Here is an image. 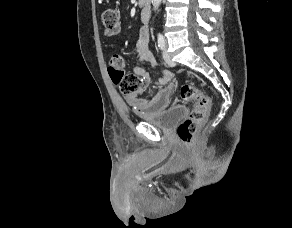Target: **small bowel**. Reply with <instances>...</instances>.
I'll return each mask as SVG.
<instances>
[{"mask_svg": "<svg viewBox=\"0 0 292 228\" xmlns=\"http://www.w3.org/2000/svg\"><path fill=\"white\" fill-rule=\"evenodd\" d=\"M148 19L149 13L144 11L142 13V20L147 22ZM135 55L139 65L133 68L132 73L141 79L142 87L140 92H142L152 84V77L146 65H149L151 69L156 67V60L149 50V30L146 26L140 30L139 39L135 47ZM172 78V71L163 70L156 81V85L161 88L152 98L136 97L128 99V103L133 107L138 116H155L168 109L174 90V85L171 82Z\"/></svg>", "mask_w": 292, "mask_h": 228, "instance_id": "obj_1", "label": "small bowel"}]
</instances>
